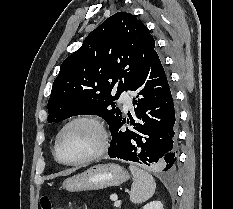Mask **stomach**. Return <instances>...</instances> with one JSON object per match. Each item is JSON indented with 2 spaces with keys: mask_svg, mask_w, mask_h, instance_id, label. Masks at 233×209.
<instances>
[{
  "mask_svg": "<svg viewBox=\"0 0 233 209\" xmlns=\"http://www.w3.org/2000/svg\"><path fill=\"white\" fill-rule=\"evenodd\" d=\"M128 177V172L116 164H97L65 179L62 187L70 192L100 190L109 186H119Z\"/></svg>",
  "mask_w": 233,
  "mask_h": 209,
  "instance_id": "1",
  "label": "stomach"
}]
</instances>
